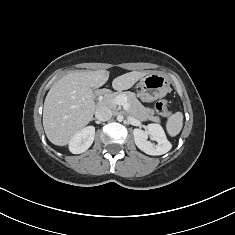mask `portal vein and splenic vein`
I'll return each mask as SVG.
<instances>
[{
    "label": "portal vein and splenic vein",
    "instance_id": "18ae733b",
    "mask_svg": "<svg viewBox=\"0 0 235 235\" xmlns=\"http://www.w3.org/2000/svg\"><path fill=\"white\" fill-rule=\"evenodd\" d=\"M113 104L115 105H121L123 106L124 110H129V104L127 102V98L123 95H119L117 96L113 101H112Z\"/></svg>",
    "mask_w": 235,
    "mask_h": 235
}]
</instances>
